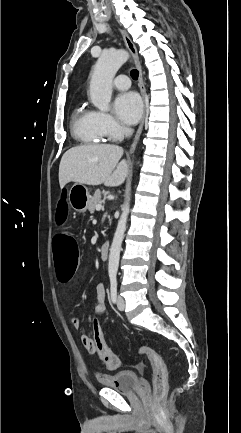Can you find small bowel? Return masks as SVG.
Instances as JSON below:
<instances>
[{"instance_id":"obj_1","label":"small bowel","mask_w":241,"mask_h":433,"mask_svg":"<svg viewBox=\"0 0 241 433\" xmlns=\"http://www.w3.org/2000/svg\"><path fill=\"white\" fill-rule=\"evenodd\" d=\"M105 311H106V289H105L104 284L100 282V283H98V284L96 285V304H95V312H96L97 314H103V313H105ZM71 323H72V326H73L75 329H79L80 326H81V321H80V319L77 318V317H73V318L71 319ZM100 328H101V327H100ZM81 341H82L83 345L85 346V348H86L90 353H96V352L93 351V350H89L88 347H87V343L93 341L92 337H90V336L87 335V334H83V335L81 336Z\"/></svg>"}]
</instances>
